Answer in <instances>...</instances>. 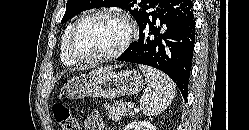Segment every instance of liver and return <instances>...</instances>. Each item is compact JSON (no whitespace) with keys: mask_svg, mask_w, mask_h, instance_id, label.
Segmentation results:
<instances>
[{"mask_svg":"<svg viewBox=\"0 0 249 130\" xmlns=\"http://www.w3.org/2000/svg\"><path fill=\"white\" fill-rule=\"evenodd\" d=\"M110 68H102V69H100V70H109ZM96 71H98V70H95L94 72H96Z\"/></svg>","mask_w":249,"mask_h":130,"instance_id":"1","label":"liver"}]
</instances>
